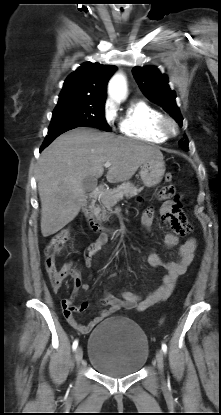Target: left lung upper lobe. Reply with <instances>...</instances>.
I'll use <instances>...</instances> for the list:
<instances>
[{"label": "left lung upper lobe", "instance_id": "obj_1", "mask_svg": "<svg viewBox=\"0 0 221 415\" xmlns=\"http://www.w3.org/2000/svg\"><path fill=\"white\" fill-rule=\"evenodd\" d=\"M132 72L143 94L162 106L182 126L183 118L176 105V94L170 89L167 76L161 74L154 66L134 67ZM178 143L182 149L188 150L187 140H180Z\"/></svg>", "mask_w": 221, "mask_h": 415}]
</instances>
